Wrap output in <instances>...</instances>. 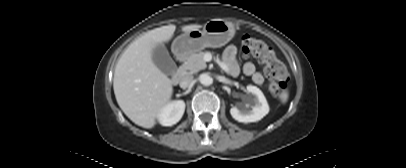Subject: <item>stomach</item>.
<instances>
[{"instance_id":"1","label":"stomach","mask_w":406,"mask_h":168,"mask_svg":"<svg viewBox=\"0 0 406 168\" xmlns=\"http://www.w3.org/2000/svg\"><path fill=\"white\" fill-rule=\"evenodd\" d=\"M234 35L235 27L232 23L213 19L208 21L202 30H191L178 36L172 44V51L176 57L184 58L206 47L224 46Z\"/></svg>"}]
</instances>
